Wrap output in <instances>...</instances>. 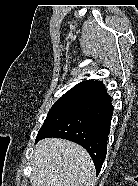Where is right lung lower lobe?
Returning <instances> with one entry per match:
<instances>
[{
    "instance_id": "right-lung-lower-lobe-1",
    "label": "right lung lower lobe",
    "mask_w": 138,
    "mask_h": 186,
    "mask_svg": "<svg viewBox=\"0 0 138 186\" xmlns=\"http://www.w3.org/2000/svg\"><path fill=\"white\" fill-rule=\"evenodd\" d=\"M92 92L88 103L69 114L40 139L63 138L81 145L91 156L98 174L107 153L113 106L106 90Z\"/></svg>"
}]
</instances>
